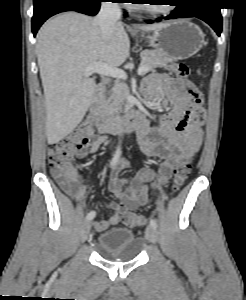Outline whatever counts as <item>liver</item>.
Wrapping results in <instances>:
<instances>
[{"label": "liver", "mask_w": 246, "mask_h": 300, "mask_svg": "<svg viewBox=\"0 0 246 300\" xmlns=\"http://www.w3.org/2000/svg\"><path fill=\"white\" fill-rule=\"evenodd\" d=\"M164 23L140 25L143 31H155ZM130 42L121 22L104 40L94 19L66 12L48 20L37 35L36 54L44 89L46 136L53 145L69 135L82 121L95 92V79L84 75L94 63L113 67L129 56Z\"/></svg>", "instance_id": "6515ba94"}]
</instances>
